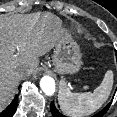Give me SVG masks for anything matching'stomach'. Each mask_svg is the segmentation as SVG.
<instances>
[{"label":"stomach","mask_w":117,"mask_h":117,"mask_svg":"<svg viewBox=\"0 0 117 117\" xmlns=\"http://www.w3.org/2000/svg\"><path fill=\"white\" fill-rule=\"evenodd\" d=\"M53 62L55 69L61 74H73L81 68L80 48L64 25L59 28Z\"/></svg>","instance_id":"1"}]
</instances>
